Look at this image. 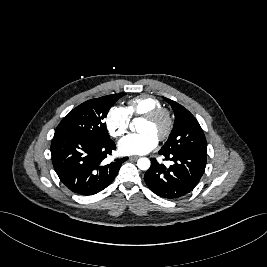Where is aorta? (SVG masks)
Instances as JSON below:
<instances>
[{
    "label": "aorta",
    "mask_w": 267,
    "mask_h": 267,
    "mask_svg": "<svg viewBox=\"0 0 267 267\" xmlns=\"http://www.w3.org/2000/svg\"><path fill=\"white\" fill-rule=\"evenodd\" d=\"M151 162L148 158H140L137 162V166L140 170H148L150 168Z\"/></svg>",
    "instance_id": "aorta-1"
}]
</instances>
